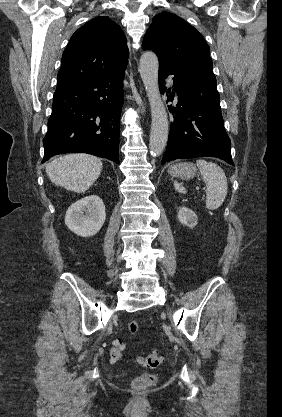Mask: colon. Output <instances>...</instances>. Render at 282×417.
I'll return each instance as SVG.
<instances>
[{"mask_svg":"<svg viewBox=\"0 0 282 417\" xmlns=\"http://www.w3.org/2000/svg\"><path fill=\"white\" fill-rule=\"evenodd\" d=\"M128 330L131 334L135 335L140 330V325L138 321H130L127 324ZM125 351V344L117 340L113 343V346L110 349V357L112 362L119 363ZM162 363V357L158 354V348H153L152 353L146 354L141 359V365L145 368L155 369L158 368ZM156 382V376L154 374H142L136 377L133 381L134 392L135 393H146L147 387H151Z\"/></svg>","mask_w":282,"mask_h":417,"instance_id":"5ec220e1","label":"colon"}]
</instances>
